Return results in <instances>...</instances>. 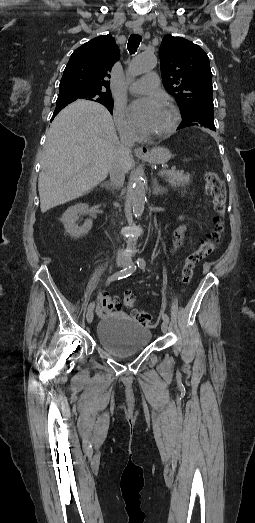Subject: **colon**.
<instances>
[{
    "mask_svg": "<svg viewBox=\"0 0 255 523\" xmlns=\"http://www.w3.org/2000/svg\"><path fill=\"white\" fill-rule=\"evenodd\" d=\"M204 178L206 191L212 198L213 207L216 213L214 228L206 235L199 247L186 257L181 268L180 281L182 284H188L191 281L196 265L217 249L225 233L224 215L226 211V191L224 184L219 176L213 171H207ZM135 303L136 300L132 294H124L123 305L126 308H133ZM100 305L104 312H111L119 307L118 301L111 296H103ZM132 317L138 323L145 326H149L153 322L152 315L144 311H133Z\"/></svg>",
    "mask_w": 255,
    "mask_h": 523,
    "instance_id": "obj_1",
    "label": "colon"
}]
</instances>
